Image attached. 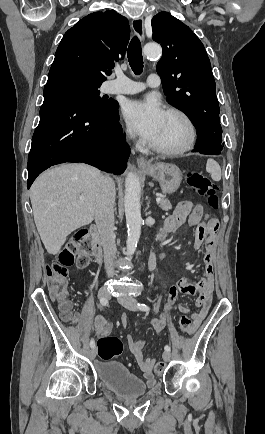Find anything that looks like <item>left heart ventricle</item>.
<instances>
[{
	"label": "left heart ventricle",
	"mask_w": 265,
	"mask_h": 434,
	"mask_svg": "<svg viewBox=\"0 0 265 434\" xmlns=\"http://www.w3.org/2000/svg\"><path fill=\"white\" fill-rule=\"evenodd\" d=\"M185 138L186 127L183 121L177 116L165 115L158 135L151 144L162 149H174L182 145Z\"/></svg>",
	"instance_id": "left-heart-ventricle-1"
}]
</instances>
